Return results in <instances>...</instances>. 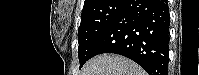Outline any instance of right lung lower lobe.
Here are the masks:
<instances>
[{"mask_svg":"<svg viewBox=\"0 0 199 75\" xmlns=\"http://www.w3.org/2000/svg\"><path fill=\"white\" fill-rule=\"evenodd\" d=\"M169 24L167 0H127L96 44L93 56L120 54L138 63L149 75H167Z\"/></svg>","mask_w":199,"mask_h":75,"instance_id":"right-lung-lower-lobe-1","label":"right lung lower lobe"}]
</instances>
